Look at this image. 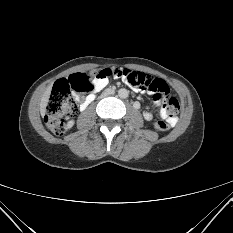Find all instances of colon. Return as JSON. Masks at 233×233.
<instances>
[{"instance_id":"colon-1","label":"colon","mask_w":233,"mask_h":233,"mask_svg":"<svg viewBox=\"0 0 233 233\" xmlns=\"http://www.w3.org/2000/svg\"><path fill=\"white\" fill-rule=\"evenodd\" d=\"M93 76L120 78L132 87L150 91L156 101L165 99V110L169 117H174L180 110L178 100L169 95L167 84L147 74L125 68H104L94 72ZM92 90L91 77L83 73H76L68 79L57 81L46 107L44 119L48 129L55 135H62L65 131L66 116L76 111L74 95ZM169 127L170 124L165 121L155 123V128L160 131H166Z\"/></svg>"}]
</instances>
